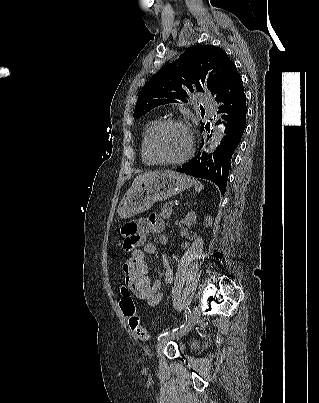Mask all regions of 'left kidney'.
<instances>
[{"label": "left kidney", "mask_w": 319, "mask_h": 403, "mask_svg": "<svg viewBox=\"0 0 319 403\" xmlns=\"http://www.w3.org/2000/svg\"><path fill=\"white\" fill-rule=\"evenodd\" d=\"M185 220L188 221V222L195 223V222H196V215H195V212H193V211L189 212V213L186 215Z\"/></svg>", "instance_id": "left-kidney-1"}]
</instances>
